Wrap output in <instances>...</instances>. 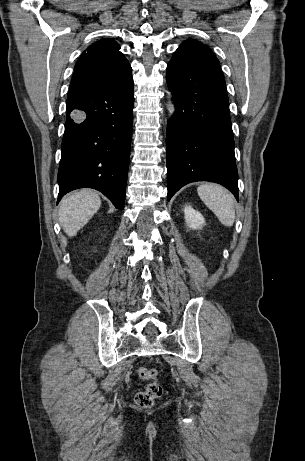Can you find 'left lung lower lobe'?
<instances>
[{"instance_id":"1","label":"left lung lower lobe","mask_w":305,"mask_h":461,"mask_svg":"<svg viewBox=\"0 0 305 461\" xmlns=\"http://www.w3.org/2000/svg\"><path fill=\"white\" fill-rule=\"evenodd\" d=\"M166 79L176 108L166 136L168 200L195 181L220 183L238 198L229 101L218 59L174 54Z\"/></svg>"}]
</instances>
